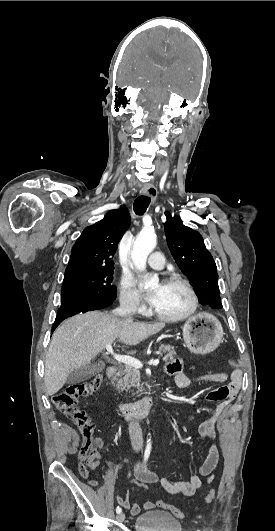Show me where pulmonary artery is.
<instances>
[{"label": "pulmonary artery", "instance_id": "obj_1", "mask_svg": "<svg viewBox=\"0 0 275 531\" xmlns=\"http://www.w3.org/2000/svg\"><path fill=\"white\" fill-rule=\"evenodd\" d=\"M164 260L165 259L162 254L154 253L153 256H151V259L149 260L152 270L161 272V269L159 268L163 267Z\"/></svg>", "mask_w": 275, "mask_h": 531}]
</instances>
